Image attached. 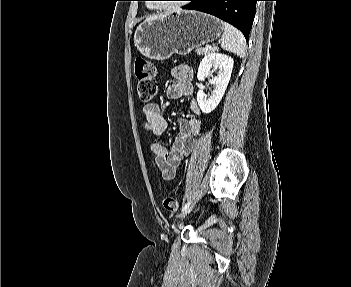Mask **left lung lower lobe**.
Instances as JSON below:
<instances>
[{"label": "left lung lower lobe", "mask_w": 351, "mask_h": 287, "mask_svg": "<svg viewBox=\"0 0 351 287\" xmlns=\"http://www.w3.org/2000/svg\"><path fill=\"white\" fill-rule=\"evenodd\" d=\"M183 9L197 10L214 15L242 31L246 40L252 28L258 0H189Z\"/></svg>", "instance_id": "1"}]
</instances>
